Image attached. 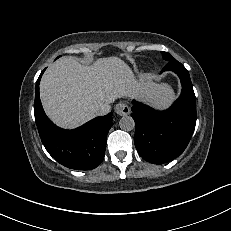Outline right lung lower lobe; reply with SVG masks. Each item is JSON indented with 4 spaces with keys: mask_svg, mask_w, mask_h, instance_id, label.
<instances>
[{
    "mask_svg": "<svg viewBox=\"0 0 231 231\" xmlns=\"http://www.w3.org/2000/svg\"><path fill=\"white\" fill-rule=\"evenodd\" d=\"M43 72L36 82L34 103L35 121L43 145L65 167L76 170L96 168L104 158L106 136L113 125L112 113L94 118L74 130L57 127L45 115L39 98V83Z\"/></svg>",
    "mask_w": 231,
    "mask_h": 231,
    "instance_id": "98d812e1",
    "label": "right lung lower lobe"
}]
</instances>
